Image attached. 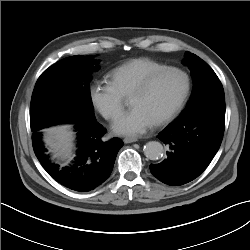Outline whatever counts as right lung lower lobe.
Listing matches in <instances>:
<instances>
[{
    "label": "right lung lower lobe",
    "mask_w": 250,
    "mask_h": 250,
    "mask_svg": "<svg viewBox=\"0 0 250 250\" xmlns=\"http://www.w3.org/2000/svg\"><path fill=\"white\" fill-rule=\"evenodd\" d=\"M73 124L78 149L70 166L61 167L50 159L43 145L41 130L32 134L33 149L43 168L58 183L74 191L88 192L109 177L123 142L119 138L103 142L101 137L105 130L96 119Z\"/></svg>",
    "instance_id": "98d812e1"
}]
</instances>
